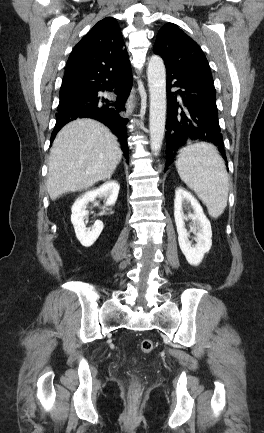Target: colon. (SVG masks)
<instances>
[{"instance_id":"colon-1","label":"colon","mask_w":264,"mask_h":433,"mask_svg":"<svg viewBox=\"0 0 264 433\" xmlns=\"http://www.w3.org/2000/svg\"><path fill=\"white\" fill-rule=\"evenodd\" d=\"M154 349V343L150 339H143L140 343V350L142 353H151Z\"/></svg>"}]
</instances>
